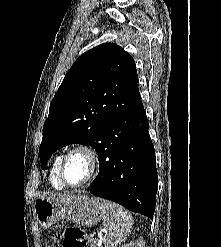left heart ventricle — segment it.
Wrapping results in <instances>:
<instances>
[{
    "label": "left heart ventricle",
    "mask_w": 221,
    "mask_h": 247,
    "mask_svg": "<svg viewBox=\"0 0 221 247\" xmlns=\"http://www.w3.org/2000/svg\"><path fill=\"white\" fill-rule=\"evenodd\" d=\"M89 173L88 158L82 153H75L67 160L65 176L69 183L77 184L83 181Z\"/></svg>",
    "instance_id": "obj_1"
}]
</instances>
